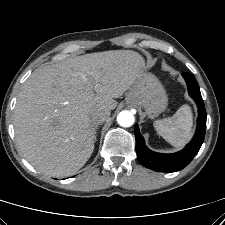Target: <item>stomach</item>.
<instances>
[{
  "label": "stomach",
  "instance_id": "obj_1",
  "mask_svg": "<svg viewBox=\"0 0 225 225\" xmlns=\"http://www.w3.org/2000/svg\"><path fill=\"white\" fill-rule=\"evenodd\" d=\"M126 102L142 106L146 114L154 118L166 109L168 98L160 81L154 75L144 72L128 92Z\"/></svg>",
  "mask_w": 225,
  "mask_h": 225
}]
</instances>
